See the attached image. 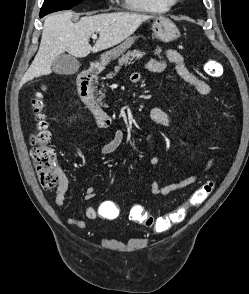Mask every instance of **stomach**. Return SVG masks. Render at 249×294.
I'll return each mask as SVG.
<instances>
[{"instance_id": "0dacf381", "label": "stomach", "mask_w": 249, "mask_h": 294, "mask_svg": "<svg viewBox=\"0 0 249 294\" xmlns=\"http://www.w3.org/2000/svg\"><path fill=\"white\" fill-rule=\"evenodd\" d=\"M152 30L156 38L164 43L175 41L180 36V32L176 25L165 17L155 18L152 24ZM133 43L134 38L128 37L123 43L102 55L103 63H108L112 59H116L129 49Z\"/></svg>"}]
</instances>
